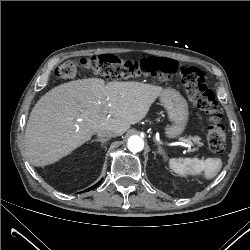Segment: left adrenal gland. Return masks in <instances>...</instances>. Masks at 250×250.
Here are the masks:
<instances>
[{
	"instance_id": "1",
	"label": "left adrenal gland",
	"mask_w": 250,
	"mask_h": 250,
	"mask_svg": "<svg viewBox=\"0 0 250 250\" xmlns=\"http://www.w3.org/2000/svg\"><path fill=\"white\" fill-rule=\"evenodd\" d=\"M155 144L158 147V153L165 157L166 154H165L164 150L162 149L161 145L157 141H155Z\"/></svg>"
}]
</instances>
